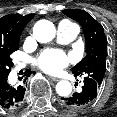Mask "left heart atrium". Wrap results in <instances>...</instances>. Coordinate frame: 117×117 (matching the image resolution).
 I'll return each mask as SVG.
<instances>
[{
  "mask_svg": "<svg viewBox=\"0 0 117 117\" xmlns=\"http://www.w3.org/2000/svg\"><path fill=\"white\" fill-rule=\"evenodd\" d=\"M71 62V57L61 50H47L37 59L36 65L43 71L54 74L61 71Z\"/></svg>",
  "mask_w": 117,
  "mask_h": 117,
  "instance_id": "1",
  "label": "left heart atrium"
}]
</instances>
